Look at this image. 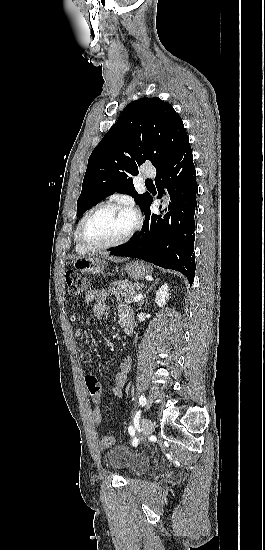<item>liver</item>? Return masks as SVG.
Segmentation results:
<instances>
[{"instance_id":"1","label":"liver","mask_w":265,"mask_h":550,"mask_svg":"<svg viewBox=\"0 0 265 550\" xmlns=\"http://www.w3.org/2000/svg\"><path fill=\"white\" fill-rule=\"evenodd\" d=\"M115 261H116V262H120L121 260H120V259H116Z\"/></svg>"}]
</instances>
